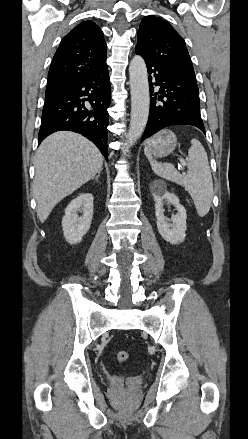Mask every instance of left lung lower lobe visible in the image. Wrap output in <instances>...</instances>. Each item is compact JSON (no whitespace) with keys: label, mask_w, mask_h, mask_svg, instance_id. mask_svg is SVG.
<instances>
[{"label":"left lung lower lobe","mask_w":248,"mask_h":439,"mask_svg":"<svg viewBox=\"0 0 248 439\" xmlns=\"http://www.w3.org/2000/svg\"><path fill=\"white\" fill-rule=\"evenodd\" d=\"M136 53L146 62L151 96L149 118L141 142L172 125H192L205 134L196 79L148 59L137 49ZM153 85L159 86L156 93Z\"/></svg>","instance_id":"left-lung-lower-lobe-1"}]
</instances>
